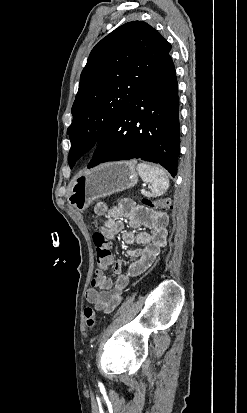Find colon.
Listing matches in <instances>:
<instances>
[{
  "label": "colon",
  "mask_w": 247,
  "mask_h": 413,
  "mask_svg": "<svg viewBox=\"0 0 247 413\" xmlns=\"http://www.w3.org/2000/svg\"><path fill=\"white\" fill-rule=\"evenodd\" d=\"M142 204H151L154 206V210H163V212L168 211L172 208L173 204L169 198H160L157 200H152L149 198H144L141 201ZM91 240L94 242V245L97 247V264L102 265L103 268H106L110 264V258L112 252L109 244H105L104 236L102 231H97L91 235ZM85 326L93 330L96 327L97 323V314L94 309L86 307L83 311Z\"/></svg>",
  "instance_id": "colon-1"
}]
</instances>
